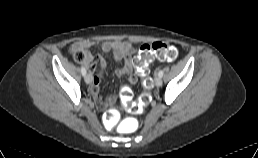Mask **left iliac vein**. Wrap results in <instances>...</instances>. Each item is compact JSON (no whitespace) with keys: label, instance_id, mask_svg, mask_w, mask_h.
<instances>
[{"label":"left iliac vein","instance_id":"obj_1","mask_svg":"<svg viewBox=\"0 0 258 158\" xmlns=\"http://www.w3.org/2000/svg\"><path fill=\"white\" fill-rule=\"evenodd\" d=\"M155 85H156L157 87H160V86L162 85V79H161V77L157 76V77L155 78Z\"/></svg>","mask_w":258,"mask_h":158}]
</instances>
